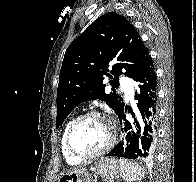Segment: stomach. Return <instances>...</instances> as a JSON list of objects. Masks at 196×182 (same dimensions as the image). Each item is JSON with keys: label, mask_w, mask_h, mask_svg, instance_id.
I'll return each instance as SVG.
<instances>
[{"label": "stomach", "mask_w": 196, "mask_h": 182, "mask_svg": "<svg viewBox=\"0 0 196 182\" xmlns=\"http://www.w3.org/2000/svg\"><path fill=\"white\" fill-rule=\"evenodd\" d=\"M94 172L101 175L104 179L112 182L119 177L120 169L117 161L112 158H102L95 163ZM57 182H91V175L85 170L63 173Z\"/></svg>", "instance_id": "1"}]
</instances>
